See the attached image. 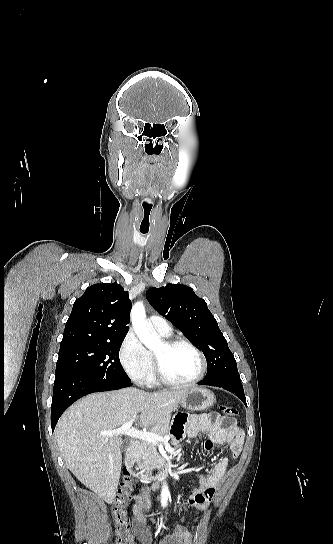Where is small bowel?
<instances>
[{
  "instance_id": "1",
  "label": "small bowel",
  "mask_w": 333,
  "mask_h": 544,
  "mask_svg": "<svg viewBox=\"0 0 333 544\" xmlns=\"http://www.w3.org/2000/svg\"><path fill=\"white\" fill-rule=\"evenodd\" d=\"M225 421L228 422L227 426H224ZM200 433H206L209 436L204 444L207 451L212 450L214 445L228 444L229 447L227 456L215 462L206 475L198 476V485L184 503L185 508L196 507L206 510L208 502L227 473L230 459L237 458L240 454L244 434L235 426L232 419L225 420L219 414L212 413L176 419L173 427V440L179 442L185 436L194 437ZM132 525L140 541L143 544H151L152 538L145 525L142 495L136 497ZM160 544H195V539L186 528L176 526L172 533L161 539Z\"/></svg>"
}]
</instances>
